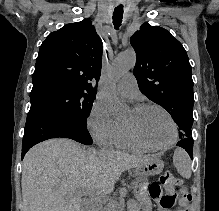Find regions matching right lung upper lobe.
Instances as JSON below:
<instances>
[{
	"instance_id": "obj_1",
	"label": "right lung upper lobe",
	"mask_w": 219,
	"mask_h": 211,
	"mask_svg": "<svg viewBox=\"0 0 219 211\" xmlns=\"http://www.w3.org/2000/svg\"><path fill=\"white\" fill-rule=\"evenodd\" d=\"M102 52L101 39L89 19L50 33L38 53L32 91L60 84L95 95L91 81L100 78Z\"/></svg>"
}]
</instances>
